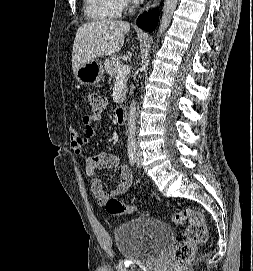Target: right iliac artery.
<instances>
[{
  "mask_svg": "<svg viewBox=\"0 0 253 271\" xmlns=\"http://www.w3.org/2000/svg\"><path fill=\"white\" fill-rule=\"evenodd\" d=\"M128 150H127V153H128V157H129V162L131 165H134L135 162H136V143L134 141H130L128 143Z\"/></svg>",
  "mask_w": 253,
  "mask_h": 271,
  "instance_id": "obj_1",
  "label": "right iliac artery"
}]
</instances>
